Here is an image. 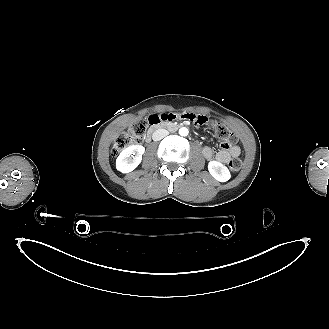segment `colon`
<instances>
[{"instance_id": "obj_1", "label": "colon", "mask_w": 329, "mask_h": 329, "mask_svg": "<svg viewBox=\"0 0 329 329\" xmlns=\"http://www.w3.org/2000/svg\"><path fill=\"white\" fill-rule=\"evenodd\" d=\"M163 114L161 115L163 116ZM212 126L216 136L222 141L224 146H230L237 141L236 135L227 126L217 122H214ZM146 129L147 122L141 121L124 131L116 140L112 150V155L116 156L126 147L139 142L142 139ZM228 168L233 172L238 171L241 168V160L237 157L231 158L228 162Z\"/></svg>"}]
</instances>
